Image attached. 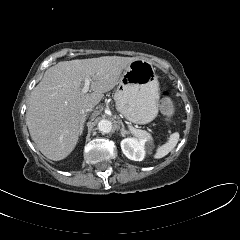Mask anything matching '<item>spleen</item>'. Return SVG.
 Masks as SVG:
<instances>
[{"label":"spleen","mask_w":240,"mask_h":240,"mask_svg":"<svg viewBox=\"0 0 240 240\" xmlns=\"http://www.w3.org/2000/svg\"><path fill=\"white\" fill-rule=\"evenodd\" d=\"M130 131L138 139H144L146 141H150L152 139L150 134H148L146 131L135 129V128H131ZM178 140H179V133L175 132L171 134L168 139V142L158 147L154 157L159 159L166 156L176 146Z\"/></svg>","instance_id":"spleen-1"}]
</instances>
